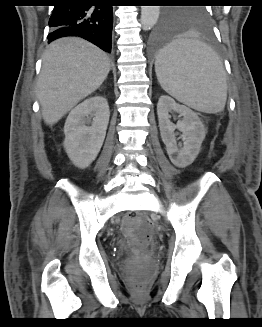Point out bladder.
<instances>
[{"label":"bladder","instance_id":"31cf9c89","mask_svg":"<svg viewBox=\"0 0 262 327\" xmlns=\"http://www.w3.org/2000/svg\"><path fill=\"white\" fill-rule=\"evenodd\" d=\"M133 261H128L126 264H125V266L127 267V268H129V267H131V266H133Z\"/></svg>","mask_w":262,"mask_h":327}]
</instances>
